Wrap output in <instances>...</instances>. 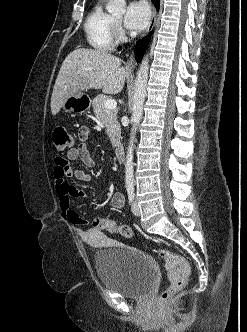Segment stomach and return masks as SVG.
<instances>
[{
	"mask_svg": "<svg viewBox=\"0 0 247 332\" xmlns=\"http://www.w3.org/2000/svg\"><path fill=\"white\" fill-rule=\"evenodd\" d=\"M91 99L82 91L68 97L62 105V110L66 113L82 112L88 110Z\"/></svg>",
	"mask_w": 247,
	"mask_h": 332,
	"instance_id": "0dacf381",
	"label": "stomach"
}]
</instances>
